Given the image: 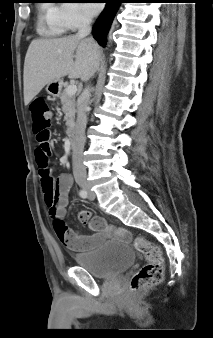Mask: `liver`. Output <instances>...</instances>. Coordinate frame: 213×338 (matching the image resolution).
Returning a JSON list of instances; mask_svg holds the SVG:
<instances>
[{
	"label": "liver",
	"mask_w": 213,
	"mask_h": 338,
	"mask_svg": "<svg viewBox=\"0 0 213 338\" xmlns=\"http://www.w3.org/2000/svg\"><path fill=\"white\" fill-rule=\"evenodd\" d=\"M99 61L100 47L90 38L72 35L33 40L24 62L25 105H28L45 85L64 76L88 81L98 69Z\"/></svg>",
	"instance_id": "liver-1"
}]
</instances>
